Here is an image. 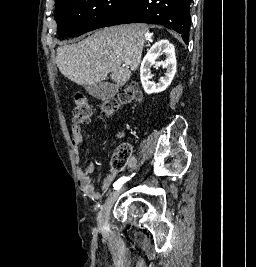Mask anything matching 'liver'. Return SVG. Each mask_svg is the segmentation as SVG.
Here are the masks:
<instances>
[{
  "label": "liver",
  "mask_w": 256,
  "mask_h": 267,
  "mask_svg": "<svg viewBox=\"0 0 256 267\" xmlns=\"http://www.w3.org/2000/svg\"><path fill=\"white\" fill-rule=\"evenodd\" d=\"M147 32L145 24L97 30L83 42L57 48L56 64L61 74L75 84L92 86L110 74L116 88H120L141 62Z\"/></svg>",
  "instance_id": "1"
}]
</instances>
